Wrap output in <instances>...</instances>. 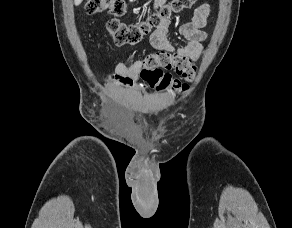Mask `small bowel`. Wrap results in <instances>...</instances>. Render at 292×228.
<instances>
[{"mask_svg":"<svg viewBox=\"0 0 292 228\" xmlns=\"http://www.w3.org/2000/svg\"><path fill=\"white\" fill-rule=\"evenodd\" d=\"M165 0H153V10L157 11ZM211 5L203 3L194 11L190 22L182 24L179 27L180 34L187 40V44L181 48H175L167 39V33L170 22L168 19L162 20L157 29L150 35V44L157 50V53L171 54L184 60L188 65H193L199 59L203 52V44L207 38L203 28L207 24V18L210 14ZM144 67V60L137 59L130 65L118 63L115 70L118 74L137 80Z\"/></svg>","mask_w":292,"mask_h":228,"instance_id":"obj_1","label":"small bowel"}]
</instances>
